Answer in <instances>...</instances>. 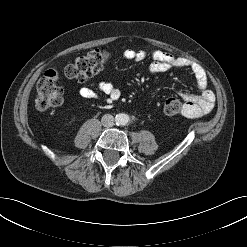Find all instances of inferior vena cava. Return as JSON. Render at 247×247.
I'll return each instance as SVG.
<instances>
[{"mask_svg":"<svg viewBox=\"0 0 247 247\" xmlns=\"http://www.w3.org/2000/svg\"><path fill=\"white\" fill-rule=\"evenodd\" d=\"M114 121V117L110 114H105L101 119L102 125L107 128L112 127L114 125Z\"/></svg>","mask_w":247,"mask_h":247,"instance_id":"inferior-vena-cava-1","label":"inferior vena cava"}]
</instances>
